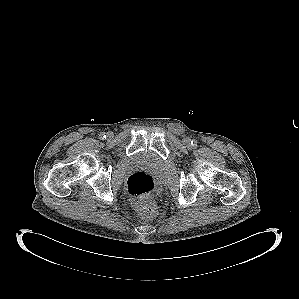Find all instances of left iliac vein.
Wrapping results in <instances>:
<instances>
[{"label":"left iliac vein","instance_id":"obj_1","mask_svg":"<svg viewBox=\"0 0 299 299\" xmlns=\"http://www.w3.org/2000/svg\"><path fill=\"white\" fill-rule=\"evenodd\" d=\"M183 143L184 145H186L187 147H190L191 146V139L186 137L183 139Z\"/></svg>","mask_w":299,"mask_h":299}]
</instances>
